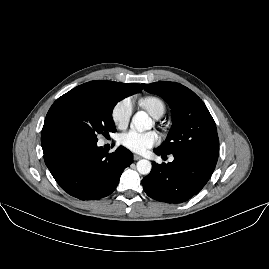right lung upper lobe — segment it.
<instances>
[{
	"instance_id": "obj_1",
	"label": "right lung upper lobe",
	"mask_w": 269,
	"mask_h": 269,
	"mask_svg": "<svg viewBox=\"0 0 269 269\" xmlns=\"http://www.w3.org/2000/svg\"><path fill=\"white\" fill-rule=\"evenodd\" d=\"M72 91H84L98 95H107L122 100L125 97L142 91V88L136 83L96 80L77 86L72 89Z\"/></svg>"
}]
</instances>
